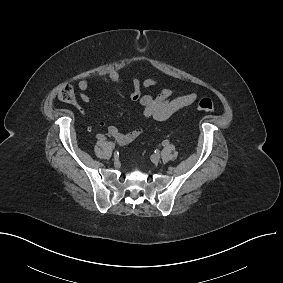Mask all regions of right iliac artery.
<instances>
[{
    "mask_svg": "<svg viewBox=\"0 0 283 283\" xmlns=\"http://www.w3.org/2000/svg\"><path fill=\"white\" fill-rule=\"evenodd\" d=\"M97 137H98L99 139L105 140V137H104L103 135H101V134H98Z\"/></svg>",
    "mask_w": 283,
    "mask_h": 283,
    "instance_id": "right-iliac-artery-1",
    "label": "right iliac artery"
}]
</instances>
